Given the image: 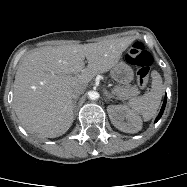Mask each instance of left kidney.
Listing matches in <instances>:
<instances>
[{"label":"left kidney","mask_w":187,"mask_h":187,"mask_svg":"<svg viewBox=\"0 0 187 187\" xmlns=\"http://www.w3.org/2000/svg\"><path fill=\"white\" fill-rule=\"evenodd\" d=\"M111 123L125 133H137L142 128L140 117L124 105H110L107 108Z\"/></svg>","instance_id":"obj_1"}]
</instances>
